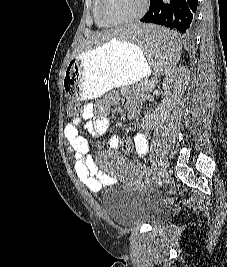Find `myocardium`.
I'll return each mask as SVG.
<instances>
[{
    "label": "myocardium",
    "instance_id": "myocardium-1",
    "mask_svg": "<svg viewBox=\"0 0 227 267\" xmlns=\"http://www.w3.org/2000/svg\"><path fill=\"white\" fill-rule=\"evenodd\" d=\"M105 2L106 0H100L99 12H100L102 19L110 25H123V24L136 22L144 16V14L147 12L148 7H149V0H143L141 9L139 10L138 13H136L135 15L127 19L113 20L105 12Z\"/></svg>",
    "mask_w": 227,
    "mask_h": 267
}]
</instances>
